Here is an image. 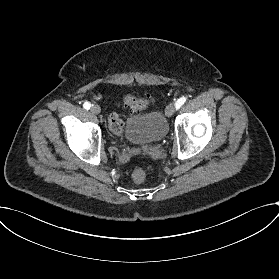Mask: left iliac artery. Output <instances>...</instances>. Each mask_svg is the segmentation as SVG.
Segmentation results:
<instances>
[{
    "mask_svg": "<svg viewBox=\"0 0 279 279\" xmlns=\"http://www.w3.org/2000/svg\"><path fill=\"white\" fill-rule=\"evenodd\" d=\"M186 101V97H181L176 101V109H179Z\"/></svg>",
    "mask_w": 279,
    "mask_h": 279,
    "instance_id": "1",
    "label": "left iliac artery"
}]
</instances>
